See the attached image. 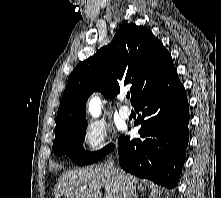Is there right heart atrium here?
Wrapping results in <instances>:
<instances>
[{
	"label": "right heart atrium",
	"instance_id": "d8ad5b80",
	"mask_svg": "<svg viewBox=\"0 0 221 198\" xmlns=\"http://www.w3.org/2000/svg\"><path fill=\"white\" fill-rule=\"evenodd\" d=\"M82 143L91 154H99L110 146V132L100 123H90L82 132Z\"/></svg>",
	"mask_w": 221,
	"mask_h": 198
}]
</instances>
